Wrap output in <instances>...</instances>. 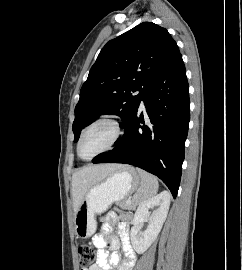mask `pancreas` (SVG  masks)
I'll return each mask as SVG.
<instances>
[{"mask_svg": "<svg viewBox=\"0 0 242 270\" xmlns=\"http://www.w3.org/2000/svg\"><path fill=\"white\" fill-rule=\"evenodd\" d=\"M121 207L124 209L132 210L135 208V204L131 202V200H127L126 202L121 204Z\"/></svg>", "mask_w": 242, "mask_h": 270, "instance_id": "1", "label": "pancreas"}]
</instances>
